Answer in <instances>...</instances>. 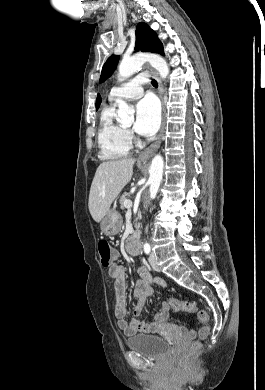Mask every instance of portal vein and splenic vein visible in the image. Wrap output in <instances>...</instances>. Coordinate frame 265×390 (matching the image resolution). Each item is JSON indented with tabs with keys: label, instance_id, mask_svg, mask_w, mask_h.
<instances>
[{
	"label": "portal vein and splenic vein",
	"instance_id": "portal-vein-and-splenic-vein-1",
	"mask_svg": "<svg viewBox=\"0 0 265 390\" xmlns=\"http://www.w3.org/2000/svg\"><path fill=\"white\" fill-rule=\"evenodd\" d=\"M124 206H125L126 208L130 209V208L132 207V200L126 199V200L124 201Z\"/></svg>",
	"mask_w": 265,
	"mask_h": 390
}]
</instances>
